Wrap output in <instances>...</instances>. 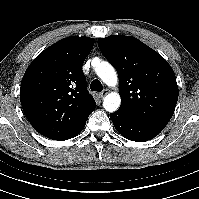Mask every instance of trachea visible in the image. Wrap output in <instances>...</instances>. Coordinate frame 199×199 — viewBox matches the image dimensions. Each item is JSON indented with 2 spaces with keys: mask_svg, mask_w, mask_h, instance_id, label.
Masks as SVG:
<instances>
[{
  "mask_svg": "<svg viewBox=\"0 0 199 199\" xmlns=\"http://www.w3.org/2000/svg\"><path fill=\"white\" fill-rule=\"evenodd\" d=\"M90 89L92 91L101 92L103 90V86H102L101 82L98 79H95V80H93L91 82Z\"/></svg>",
  "mask_w": 199,
  "mask_h": 199,
  "instance_id": "obj_1",
  "label": "trachea"
}]
</instances>
